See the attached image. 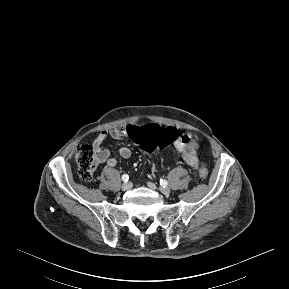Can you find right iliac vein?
<instances>
[{
	"label": "right iliac vein",
	"instance_id": "1",
	"mask_svg": "<svg viewBox=\"0 0 289 289\" xmlns=\"http://www.w3.org/2000/svg\"><path fill=\"white\" fill-rule=\"evenodd\" d=\"M132 188V183L131 182H125L122 184V190L123 191H127L130 190Z\"/></svg>",
	"mask_w": 289,
	"mask_h": 289
}]
</instances>
